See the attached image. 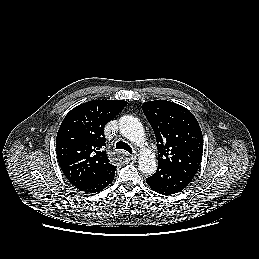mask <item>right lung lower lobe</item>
Wrapping results in <instances>:
<instances>
[{
	"label": "right lung lower lobe",
	"mask_w": 259,
	"mask_h": 259,
	"mask_svg": "<svg viewBox=\"0 0 259 259\" xmlns=\"http://www.w3.org/2000/svg\"><path fill=\"white\" fill-rule=\"evenodd\" d=\"M115 170L116 168H113L107 171L106 173H104L101 177L95 179L94 181L77 186V188L87 193L99 192L103 190L105 187H107L113 181Z\"/></svg>",
	"instance_id": "obj_1"
}]
</instances>
